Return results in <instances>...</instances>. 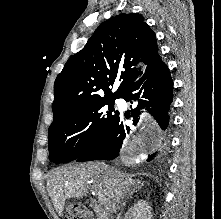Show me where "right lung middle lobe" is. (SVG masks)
Masks as SVG:
<instances>
[{"mask_svg": "<svg viewBox=\"0 0 221 219\" xmlns=\"http://www.w3.org/2000/svg\"><path fill=\"white\" fill-rule=\"evenodd\" d=\"M115 99L86 104L54 121L48 131L49 160L69 162L90 151L119 116Z\"/></svg>", "mask_w": 221, "mask_h": 219, "instance_id": "right-lung-middle-lobe-1", "label": "right lung middle lobe"}]
</instances>
